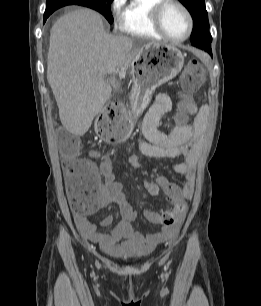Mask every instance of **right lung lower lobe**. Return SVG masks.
I'll list each match as a JSON object with an SVG mask.
<instances>
[{
  "mask_svg": "<svg viewBox=\"0 0 261 306\" xmlns=\"http://www.w3.org/2000/svg\"><path fill=\"white\" fill-rule=\"evenodd\" d=\"M51 12L49 13H44V22L46 21V19L50 16Z\"/></svg>",
  "mask_w": 261,
  "mask_h": 306,
  "instance_id": "right-lung-lower-lobe-1",
  "label": "right lung lower lobe"
}]
</instances>
